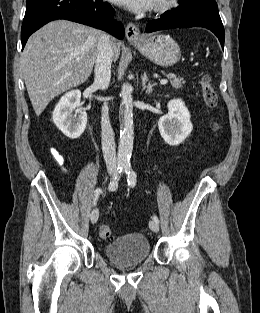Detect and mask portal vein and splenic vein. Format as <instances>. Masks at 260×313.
I'll use <instances>...</instances> for the list:
<instances>
[{
  "mask_svg": "<svg viewBox=\"0 0 260 313\" xmlns=\"http://www.w3.org/2000/svg\"><path fill=\"white\" fill-rule=\"evenodd\" d=\"M167 82H168L167 79H162V80L160 81V83H161L162 85L166 84Z\"/></svg>",
  "mask_w": 260,
  "mask_h": 313,
  "instance_id": "obj_1",
  "label": "portal vein and splenic vein"
}]
</instances>
